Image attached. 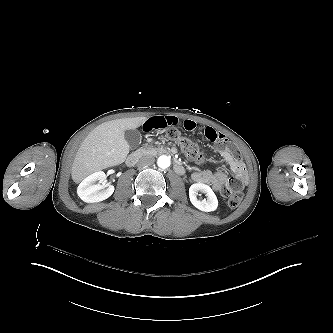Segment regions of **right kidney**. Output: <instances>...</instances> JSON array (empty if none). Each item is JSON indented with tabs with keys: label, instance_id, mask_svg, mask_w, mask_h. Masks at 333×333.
<instances>
[{
	"label": "right kidney",
	"instance_id": "obj_1",
	"mask_svg": "<svg viewBox=\"0 0 333 333\" xmlns=\"http://www.w3.org/2000/svg\"><path fill=\"white\" fill-rule=\"evenodd\" d=\"M103 171L95 172L86 177L78 186V196L87 203L100 202L110 197L114 192V186L110 183L96 184L98 180H105Z\"/></svg>",
	"mask_w": 333,
	"mask_h": 333
}]
</instances>
